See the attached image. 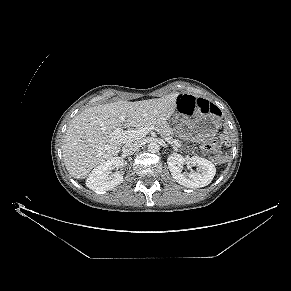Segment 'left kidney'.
Returning a JSON list of instances; mask_svg holds the SVG:
<instances>
[{"instance_id":"obj_1","label":"left kidney","mask_w":291,"mask_h":291,"mask_svg":"<svg viewBox=\"0 0 291 291\" xmlns=\"http://www.w3.org/2000/svg\"><path fill=\"white\" fill-rule=\"evenodd\" d=\"M197 166V170L182 172L185 164ZM168 168L177 183L187 188H200L207 186L216 174L215 165L202 157L193 156L186 160L182 155L172 153L167 158Z\"/></svg>"}]
</instances>
